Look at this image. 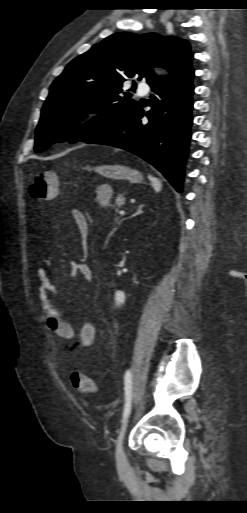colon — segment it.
<instances>
[{
  "instance_id": "obj_1",
  "label": "colon",
  "mask_w": 247,
  "mask_h": 513,
  "mask_svg": "<svg viewBox=\"0 0 247 513\" xmlns=\"http://www.w3.org/2000/svg\"><path fill=\"white\" fill-rule=\"evenodd\" d=\"M97 199L102 205H107L111 197V187L106 182H101L96 187ZM59 193V183L55 173L40 172L38 173L30 187L29 194L34 201H48L57 198ZM71 383L74 388L85 393L94 392V384L92 379L82 373L74 372L71 375Z\"/></svg>"
}]
</instances>
